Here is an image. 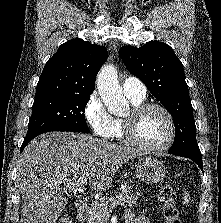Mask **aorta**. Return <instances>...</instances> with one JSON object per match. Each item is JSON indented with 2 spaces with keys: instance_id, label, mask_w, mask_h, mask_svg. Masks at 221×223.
I'll return each instance as SVG.
<instances>
[{
  "instance_id": "762f6f07",
  "label": "aorta",
  "mask_w": 221,
  "mask_h": 223,
  "mask_svg": "<svg viewBox=\"0 0 221 223\" xmlns=\"http://www.w3.org/2000/svg\"><path fill=\"white\" fill-rule=\"evenodd\" d=\"M97 89L107 110L114 115H120L129 108L122 88L118 83L117 70L113 65H104L96 79Z\"/></svg>"
}]
</instances>
